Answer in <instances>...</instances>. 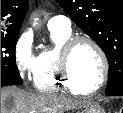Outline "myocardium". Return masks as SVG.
Masks as SVG:
<instances>
[{"label":"myocardium","instance_id":"f54148a6","mask_svg":"<svg viewBox=\"0 0 123 113\" xmlns=\"http://www.w3.org/2000/svg\"><path fill=\"white\" fill-rule=\"evenodd\" d=\"M81 43L90 44L97 52L100 60H101V77L97 85L91 89L86 90L78 85H76L72 79L71 71H70V61L71 57ZM60 73L63 77L64 81L68 85L69 88L78 92L82 95H95L97 94L106 84L109 76V62L101 45L92 37L80 35V36H71L69 39L65 41L61 48L60 52Z\"/></svg>","mask_w":123,"mask_h":113}]
</instances>
